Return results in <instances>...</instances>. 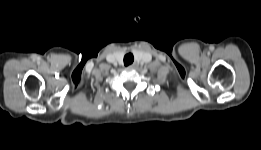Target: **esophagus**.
I'll use <instances>...</instances> for the list:
<instances>
[{"mask_svg":"<svg viewBox=\"0 0 261 150\" xmlns=\"http://www.w3.org/2000/svg\"><path fill=\"white\" fill-rule=\"evenodd\" d=\"M135 66H136V64L133 63V64H131L129 67L133 68V67H135Z\"/></svg>","mask_w":261,"mask_h":150,"instance_id":"1","label":"esophagus"}]
</instances>
